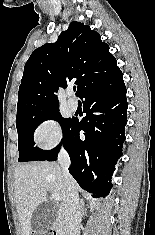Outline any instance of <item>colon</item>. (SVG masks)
Segmentation results:
<instances>
[{"instance_id":"colon-1","label":"colon","mask_w":155,"mask_h":235,"mask_svg":"<svg viewBox=\"0 0 155 235\" xmlns=\"http://www.w3.org/2000/svg\"><path fill=\"white\" fill-rule=\"evenodd\" d=\"M32 235H44L43 233H40V232H35L33 233Z\"/></svg>"}]
</instances>
